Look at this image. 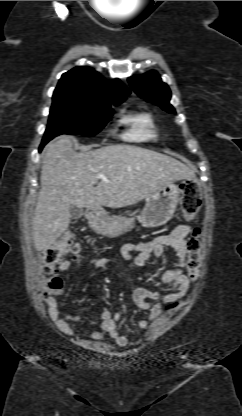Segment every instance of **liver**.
I'll list each match as a JSON object with an SVG mask.
<instances>
[{
  "label": "liver",
  "mask_w": 242,
  "mask_h": 416,
  "mask_svg": "<svg viewBox=\"0 0 242 416\" xmlns=\"http://www.w3.org/2000/svg\"><path fill=\"white\" fill-rule=\"evenodd\" d=\"M73 142L63 136L45 148L32 222L37 251L49 249L67 230L71 205L94 211L102 206L126 207L148 199L170 182L195 177L182 162L152 150L111 145L76 152ZM99 173L108 181L97 179Z\"/></svg>",
  "instance_id": "liver-1"
}]
</instances>
